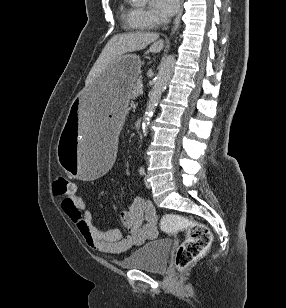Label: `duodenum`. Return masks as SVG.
Masks as SVG:
<instances>
[{"label":"duodenum","mask_w":286,"mask_h":308,"mask_svg":"<svg viewBox=\"0 0 286 308\" xmlns=\"http://www.w3.org/2000/svg\"><path fill=\"white\" fill-rule=\"evenodd\" d=\"M140 128H141V121H140V120H137V121L135 122V129H136V130H140Z\"/></svg>","instance_id":"410a0bca"}]
</instances>
